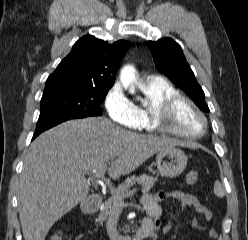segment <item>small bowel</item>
Returning <instances> with one entry per match:
<instances>
[{
    "mask_svg": "<svg viewBox=\"0 0 248 240\" xmlns=\"http://www.w3.org/2000/svg\"><path fill=\"white\" fill-rule=\"evenodd\" d=\"M169 199L179 202L181 207H192L197 214L207 221H210L213 218L212 211L206 208L194 195L182 191H160L156 194H143L140 198V202L147 213V217L144 221L150 222L153 226L152 232L149 236L151 240H157V232L161 228V203ZM171 226V223L166 224L162 227V231L164 233L169 232ZM193 226L197 229L207 231L209 236L212 238H218V234L213 228L203 225L197 219L194 220Z\"/></svg>",
    "mask_w": 248,
    "mask_h": 240,
    "instance_id": "1",
    "label": "small bowel"
}]
</instances>
